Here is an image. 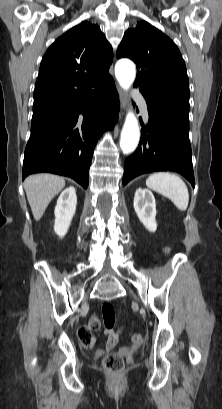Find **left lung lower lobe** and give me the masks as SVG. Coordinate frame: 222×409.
I'll return each mask as SVG.
<instances>
[{
	"label": "left lung lower lobe",
	"mask_w": 222,
	"mask_h": 409,
	"mask_svg": "<svg viewBox=\"0 0 222 409\" xmlns=\"http://www.w3.org/2000/svg\"><path fill=\"white\" fill-rule=\"evenodd\" d=\"M149 122L138 149L125 160L123 185L155 171H175L195 186L189 142V107L181 99L147 101Z\"/></svg>",
	"instance_id": "1"
}]
</instances>
